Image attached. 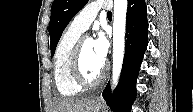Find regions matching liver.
I'll return each instance as SVG.
<instances>
[{"instance_id":"liver-1","label":"liver","mask_w":193,"mask_h":112,"mask_svg":"<svg viewBox=\"0 0 193 112\" xmlns=\"http://www.w3.org/2000/svg\"><path fill=\"white\" fill-rule=\"evenodd\" d=\"M95 100L88 98H64L57 100L53 105V112H92Z\"/></svg>"}]
</instances>
